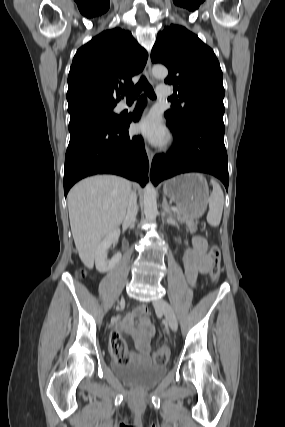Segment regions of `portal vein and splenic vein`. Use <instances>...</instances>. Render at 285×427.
I'll use <instances>...</instances> for the list:
<instances>
[{
	"label": "portal vein and splenic vein",
	"instance_id": "1",
	"mask_svg": "<svg viewBox=\"0 0 285 427\" xmlns=\"http://www.w3.org/2000/svg\"><path fill=\"white\" fill-rule=\"evenodd\" d=\"M172 210H173L174 212H178V210H177L176 208H172Z\"/></svg>",
	"mask_w": 285,
	"mask_h": 427
}]
</instances>
